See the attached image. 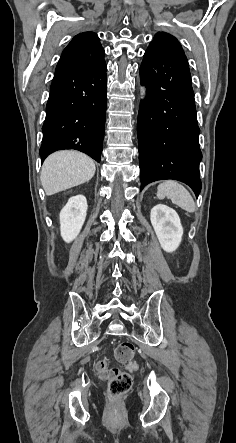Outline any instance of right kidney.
I'll return each mask as SVG.
<instances>
[{"instance_id":"1","label":"right kidney","mask_w":236,"mask_h":443,"mask_svg":"<svg viewBox=\"0 0 236 443\" xmlns=\"http://www.w3.org/2000/svg\"><path fill=\"white\" fill-rule=\"evenodd\" d=\"M87 200L83 195L71 197L60 212V231L63 240L73 241L79 234L87 212Z\"/></svg>"}]
</instances>
